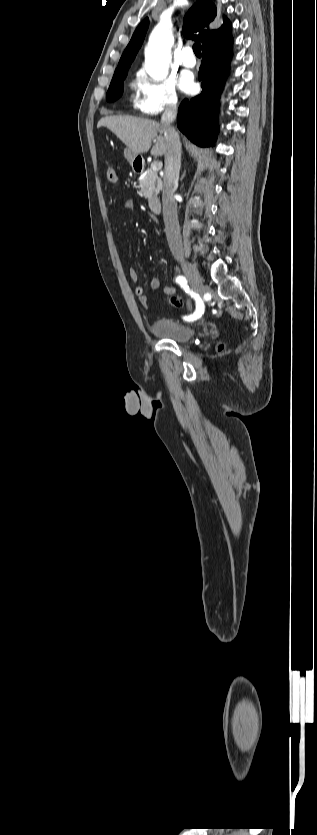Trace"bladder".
<instances>
[{"instance_id": "bladder-1", "label": "bladder", "mask_w": 317, "mask_h": 835, "mask_svg": "<svg viewBox=\"0 0 317 835\" xmlns=\"http://www.w3.org/2000/svg\"><path fill=\"white\" fill-rule=\"evenodd\" d=\"M152 332L158 337L169 339L177 343L190 340L196 333L190 325L170 318H161L152 325Z\"/></svg>"}]
</instances>
